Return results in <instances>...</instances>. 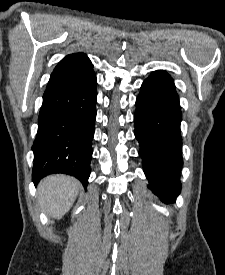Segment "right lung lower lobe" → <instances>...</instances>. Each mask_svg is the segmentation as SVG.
<instances>
[{"label":"right lung lower lobe","instance_id":"1","mask_svg":"<svg viewBox=\"0 0 225 275\" xmlns=\"http://www.w3.org/2000/svg\"><path fill=\"white\" fill-rule=\"evenodd\" d=\"M96 76L85 85L43 95L32 150V181L64 173L88 184L96 118Z\"/></svg>","mask_w":225,"mask_h":275}]
</instances>
